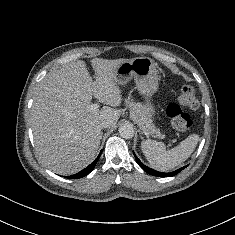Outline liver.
I'll return each instance as SVG.
<instances>
[{"label":"liver","mask_w":235,"mask_h":235,"mask_svg":"<svg viewBox=\"0 0 235 235\" xmlns=\"http://www.w3.org/2000/svg\"><path fill=\"white\" fill-rule=\"evenodd\" d=\"M125 60L92 59L94 82L84 61L66 64L39 82L31 108L32 131L40 157L55 173L70 175L89 165L102 138L99 125H116L122 96L114 71ZM92 97L107 106L91 110Z\"/></svg>","instance_id":"obj_1"}]
</instances>
